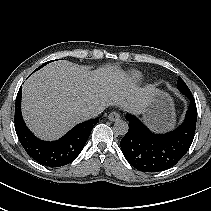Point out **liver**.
Masks as SVG:
<instances>
[{"label": "liver", "instance_id": "1", "mask_svg": "<svg viewBox=\"0 0 211 211\" xmlns=\"http://www.w3.org/2000/svg\"><path fill=\"white\" fill-rule=\"evenodd\" d=\"M155 88L138 87L117 67L90 71L69 61H57L30 76L22 88V113L38 137L53 140L87 120L90 108L119 106L143 113Z\"/></svg>", "mask_w": 211, "mask_h": 211}]
</instances>
